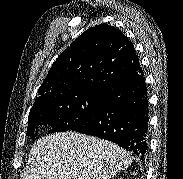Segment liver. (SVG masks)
<instances>
[{
    "instance_id": "liver-1",
    "label": "liver",
    "mask_w": 183,
    "mask_h": 179,
    "mask_svg": "<svg viewBox=\"0 0 183 179\" xmlns=\"http://www.w3.org/2000/svg\"><path fill=\"white\" fill-rule=\"evenodd\" d=\"M131 162L129 152L112 142L61 132L34 143L22 179H111Z\"/></svg>"
}]
</instances>
